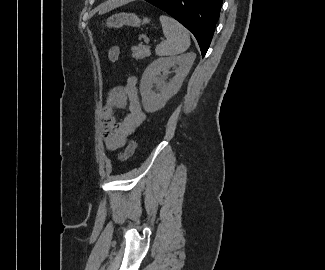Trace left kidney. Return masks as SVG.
I'll return each mask as SVG.
<instances>
[{"label": "left kidney", "mask_w": 325, "mask_h": 270, "mask_svg": "<svg viewBox=\"0 0 325 270\" xmlns=\"http://www.w3.org/2000/svg\"><path fill=\"white\" fill-rule=\"evenodd\" d=\"M195 58L196 54L193 52L180 56L159 58L146 68L140 83L142 104L146 112L152 113L162 109L167 101L179 91ZM171 67L175 68V76L168 83L163 84L158 79V75L161 72H169ZM154 84L157 93L152 90Z\"/></svg>", "instance_id": "obj_1"}]
</instances>
